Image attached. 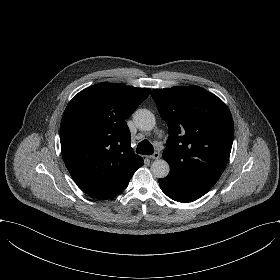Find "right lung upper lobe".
<instances>
[{"label": "right lung upper lobe", "instance_id": "obj_1", "mask_svg": "<svg viewBox=\"0 0 280 280\" xmlns=\"http://www.w3.org/2000/svg\"><path fill=\"white\" fill-rule=\"evenodd\" d=\"M149 93V88L99 83L67 105L60 124L61 152L73 180L90 197H115L144 164L133 152L125 120Z\"/></svg>", "mask_w": 280, "mask_h": 280}]
</instances>
